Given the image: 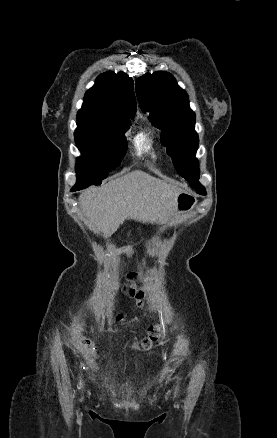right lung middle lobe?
<instances>
[{
    "label": "right lung middle lobe",
    "mask_w": 277,
    "mask_h": 438,
    "mask_svg": "<svg viewBox=\"0 0 277 438\" xmlns=\"http://www.w3.org/2000/svg\"><path fill=\"white\" fill-rule=\"evenodd\" d=\"M129 126V120L112 125L77 124L74 137L82 156L75 167V188L100 185L120 164L127 149L125 132Z\"/></svg>",
    "instance_id": "dd1d6c3e"
}]
</instances>
